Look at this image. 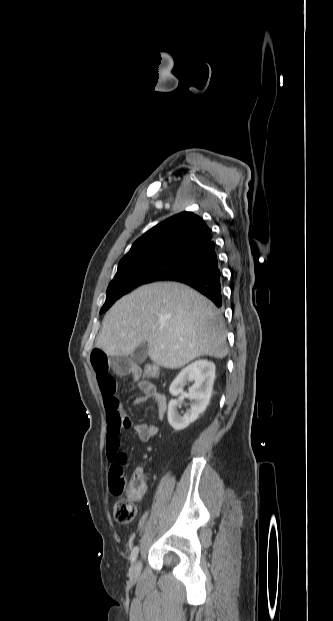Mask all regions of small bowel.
Listing matches in <instances>:
<instances>
[{"label": "small bowel", "instance_id": "small-bowel-1", "mask_svg": "<svg viewBox=\"0 0 333 621\" xmlns=\"http://www.w3.org/2000/svg\"><path fill=\"white\" fill-rule=\"evenodd\" d=\"M91 365L95 371L98 387L102 395L103 404L107 419V456L110 468L117 462L126 463V455L121 450L120 435L123 430L133 428L138 438L147 442L155 436L159 430L158 423L133 424L124 412L117 397L116 381L112 373H120L128 367V363L119 357H110L100 348H95L90 356ZM138 382L143 395L135 399V406H140L148 400H154L157 405L159 420H163L167 410L166 397L159 393L156 387L149 381L140 380L139 376H134ZM143 474V469L135 470L133 476Z\"/></svg>", "mask_w": 333, "mask_h": 621}]
</instances>
